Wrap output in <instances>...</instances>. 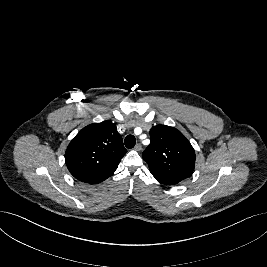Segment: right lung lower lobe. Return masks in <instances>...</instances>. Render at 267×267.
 Segmentation results:
<instances>
[{"label":"right lung lower lobe","instance_id":"obj_1","mask_svg":"<svg viewBox=\"0 0 267 267\" xmlns=\"http://www.w3.org/2000/svg\"><path fill=\"white\" fill-rule=\"evenodd\" d=\"M107 178H108V177H107ZM107 178H106V179H107ZM104 180H105V179H104ZM104 180H102V181H104ZM102 181H100V182H102ZM97 183H99V182H97ZM94 184H95V183H94Z\"/></svg>","mask_w":267,"mask_h":267}]
</instances>
